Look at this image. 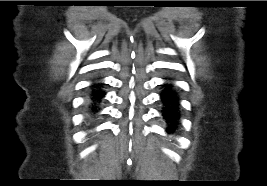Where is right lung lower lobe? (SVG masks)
<instances>
[{
    "label": "right lung lower lobe",
    "mask_w": 267,
    "mask_h": 186,
    "mask_svg": "<svg viewBox=\"0 0 267 186\" xmlns=\"http://www.w3.org/2000/svg\"><path fill=\"white\" fill-rule=\"evenodd\" d=\"M91 87L92 88L87 104L89 107V113L92 116H95L100 110L99 104L101 102V99L104 97L105 93L101 88L102 87L101 83H95Z\"/></svg>",
    "instance_id": "1"
}]
</instances>
